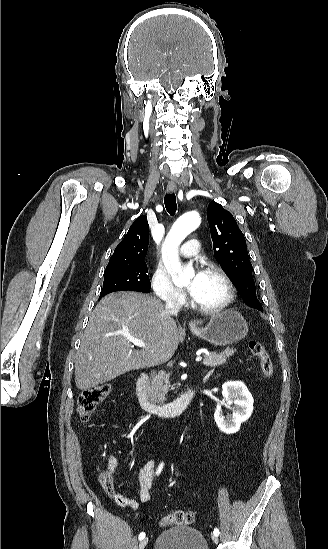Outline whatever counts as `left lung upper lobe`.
<instances>
[{"label":"left lung upper lobe","instance_id":"1","mask_svg":"<svg viewBox=\"0 0 328 549\" xmlns=\"http://www.w3.org/2000/svg\"><path fill=\"white\" fill-rule=\"evenodd\" d=\"M207 218L216 260L247 305L260 303L256 297L246 241L234 217L220 204L211 202Z\"/></svg>","mask_w":328,"mask_h":549}]
</instances>
